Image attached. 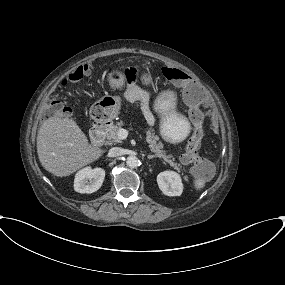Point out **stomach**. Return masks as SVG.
I'll use <instances>...</instances> for the list:
<instances>
[{
    "mask_svg": "<svg viewBox=\"0 0 285 285\" xmlns=\"http://www.w3.org/2000/svg\"><path fill=\"white\" fill-rule=\"evenodd\" d=\"M153 78L150 73H143L141 81L148 85ZM111 88L122 89L125 85V74L121 70H113L107 76ZM176 94L173 91L162 92L155 101V110L162 115L160 132L162 137L171 143L184 140L189 133L188 122L175 112ZM120 111V100L116 96L106 95L90 108L91 118L99 124L112 121Z\"/></svg>",
    "mask_w": 285,
    "mask_h": 285,
    "instance_id": "0dacf381",
    "label": "stomach"
}]
</instances>
